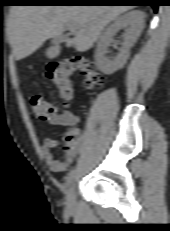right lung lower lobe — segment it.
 Returning <instances> with one entry per match:
<instances>
[{"label":"right lung lower lobe","instance_id":"right-lung-lower-lobe-1","mask_svg":"<svg viewBox=\"0 0 170 231\" xmlns=\"http://www.w3.org/2000/svg\"><path fill=\"white\" fill-rule=\"evenodd\" d=\"M62 2H47V0H34L28 2L32 5H115L124 3V5H149L156 12L160 5V0H60ZM97 1H115V2H97Z\"/></svg>","mask_w":170,"mask_h":231}]
</instances>
